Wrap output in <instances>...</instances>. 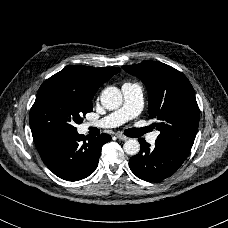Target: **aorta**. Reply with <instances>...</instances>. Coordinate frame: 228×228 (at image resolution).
<instances>
[{
	"mask_svg": "<svg viewBox=\"0 0 228 228\" xmlns=\"http://www.w3.org/2000/svg\"><path fill=\"white\" fill-rule=\"evenodd\" d=\"M122 100V94L117 87H107L101 94L102 106L108 110L118 109L122 105ZM123 147L128 155H136L140 150V143L137 139H129Z\"/></svg>",
	"mask_w": 228,
	"mask_h": 228,
	"instance_id": "762f6f07",
	"label": "aorta"
}]
</instances>
